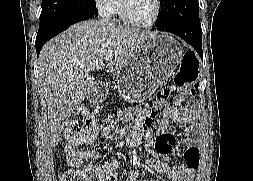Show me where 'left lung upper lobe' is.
Masks as SVG:
<instances>
[{
    "instance_id": "5c2ea615",
    "label": "left lung upper lobe",
    "mask_w": 253,
    "mask_h": 181,
    "mask_svg": "<svg viewBox=\"0 0 253 181\" xmlns=\"http://www.w3.org/2000/svg\"><path fill=\"white\" fill-rule=\"evenodd\" d=\"M160 5L156 26L199 22L198 0H160Z\"/></svg>"
}]
</instances>
